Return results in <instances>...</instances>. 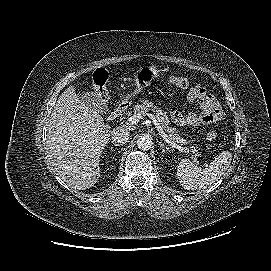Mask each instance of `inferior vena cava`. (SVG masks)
Listing matches in <instances>:
<instances>
[{"label": "inferior vena cava", "instance_id": "1", "mask_svg": "<svg viewBox=\"0 0 271 271\" xmlns=\"http://www.w3.org/2000/svg\"><path fill=\"white\" fill-rule=\"evenodd\" d=\"M111 135L112 140L116 143H126L129 139V132L123 127H117L113 129Z\"/></svg>", "mask_w": 271, "mask_h": 271}]
</instances>
